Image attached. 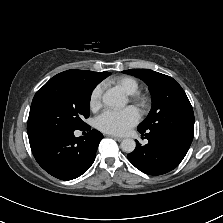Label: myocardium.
I'll return each instance as SVG.
<instances>
[{
  "label": "myocardium",
  "mask_w": 223,
  "mask_h": 223,
  "mask_svg": "<svg viewBox=\"0 0 223 223\" xmlns=\"http://www.w3.org/2000/svg\"><path fill=\"white\" fill-rule=\"evenodd\" d=\"M132 100L139 106L142 108H145L148 106V99L147 97L143 96V95H139L136 94L132 97Z\"/></svg>",
  "instance_id": "f54148a6"
}]
</instances>
